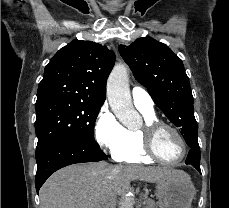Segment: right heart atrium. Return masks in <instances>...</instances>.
I'll return each instance as SVG.
<instances>
[{
	"instance_id": "right-heart-atrium-1",
	"label": "right heart atrium",
	"mask_w": 229,
	"mask_h": 208,
	"mask_svg": "<svg viewBox=\"0 0 229 208\" xmlns=\"http://www.w3.org/2000/svg\"><path fill=\"white\" fill-rule=\"evenodd\" d=\"M93 135L103 150L114 155L128 145L125 128L107 106H102L95 118Z\"/></svg>"
}]
</instances>
